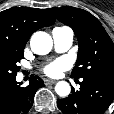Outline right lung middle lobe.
<instances>
[{
	"mask_svg": "<svg viewBox=\"0 0 114 114\" xmlns=\"http://www.w3.org/2000/svg\"><path fill=\"white\" fill-rule=\"evenodd\" d=\"M24 50L0 47V82L16 78L19 66L17 63L23 58Z\"/></svg>",
	"mask_w": 114,
	"mask_h": 114,
	"instance_id": "dd1d6c3e",
	"label": "right lung middle lobe"
}]
</instances>
